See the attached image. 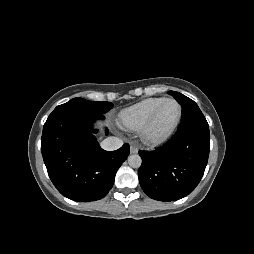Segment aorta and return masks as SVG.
<instances>
[{
	"instance_id": "obj_1",
	"label": "aorta",
	"mask_w": 254,
	"mask_h": 254,
	"mask_svg": "<svg viewBox=\"0 0 254 254\" xmlns=\"http://www.w3.org/2000/svg\"><path fill=\"white\" fill-rule=\"evenodd\" d=\"M142 159L139 155L133 154L128 157V164L133 168H139L141 166Z\"/></svg>"
}]
</instances>
